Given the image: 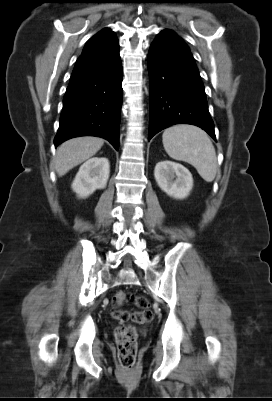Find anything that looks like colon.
<instances>
[{
    "mask_svg": "<svg viewBox=\"0 0 272 401\" xmlns=\"http://www.w3.org/2000/svg\"><path fill=\"white\" fill-rule=\"evenodd\" d=\"M126 302L135 304L139 311L119 310ZM112 314L122 323H147L153 318L148 300L143 296H136L124 291H118L112 298ZM118 359L124 370L134 368L137 355V332L134 326L126 324L117 328L115 333Z\"/></svg>",
    "mask_w": 272,
    "mask_h": 401,
    "instance_id": "1",
    "label": "colon"
}]
</instances>
